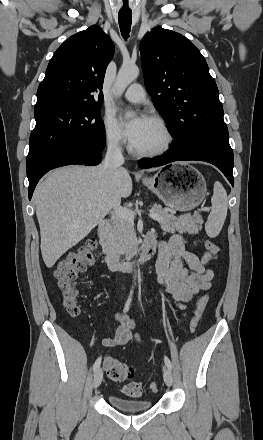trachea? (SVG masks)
<instances>
[{"label": "trachea", "mask_w": 263, "mask_h": 440, "mask_svg": "<svg viewBox=\"0 0 263 440\" xmlns=\"http://www.w3.org/2000/svg\"><path fill=\"white\" fill-rule=\"evenodd\" d=\"M120 31L124 39L129 37L131 22H132V12L130 11H120L118 14Z\"/></svg>", "instance_id": "3493384b"}]
</instances>
